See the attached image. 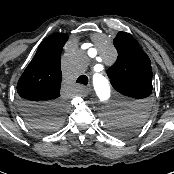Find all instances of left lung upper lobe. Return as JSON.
<instances>
[{
	"mask_svg": "<svg viewBox=\"0 0 174 174\" xmlns=\"http://www.w3.org/2000/svg\"><path fill=\"white\" fill-rule=\"evenodd\" d=\"M114 46L118 58L107 74L115 90L134 101L127 114L110 117L109 126L113 134L125 137L141 128L148 117L152 68L149 57L131 34L119 32L114 39Z\"/></svg>",
	"mask_w": 174,
	"mask_h": 174,
	"instance_id": "obj_1",
	"label": "left lung upper lobe"
}]
</instances>
